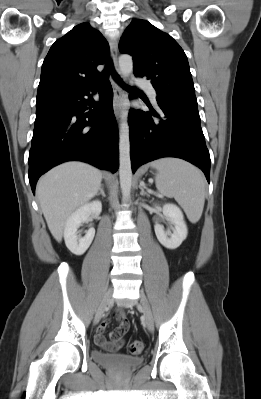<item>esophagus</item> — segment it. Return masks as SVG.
Listing matches in <instances>:
<instances>
[{
	"label": "esophagus",
	"mask_w": 261,
	"mask_h": 399,
	"mask_svg": "<svg viewBox=\"0 0 261 399\" xmlns=\"http://www.w3.org/2000/svg\"><path fill=\"white\" fill-rule=\"evenodd\" d=\"M110 48H111V56L113 61V66L115 69L116 74H120L119 67H118V40L117 38H111L109 40ZM111 84L113 86L114 97H113V108L114 113L116 115L117 120L121 121V113L123 109V102H124V94L123 90L118 82L114 80V78L110 77Z\"/></svg>",
	"instance_id": "1"
}]
</instances>
